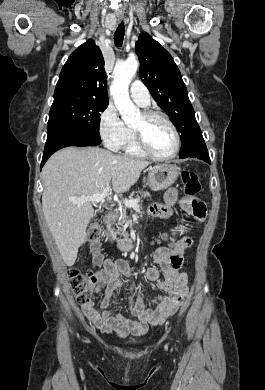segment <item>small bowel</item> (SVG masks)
<instances>
[{
    "instance_id": "1",
    "label": "small bowel",
    "mask_w": 265,
    "mask_h": 390,
    "mask_svg": "<svg viewBox=\"0 0 265 390\" xmlns=\"http://www.w3.org/2000/svg\"><path fill=\"white\" fill-rule=\"evenodd\" d=\"M174 206H179L188 215L202 221L206 217V206L198 198L191 196L180 197L175 188H170L165 194L164 204H153L149 212L159 218H168L173 213ZM185 227L174 229L178 240H172L167 234L162 236L166 246L157 248L153 254V263L149 266L146 276L154 288L162 291L164 295L154 298L147 304L142 292L136 294V284L133 271L128 262L122 258L102 257L97 266L101 269L95 275L93 285L95 293L104 292L100 302V309L95 301L82 306L83 313L102 332L115 333L120 337L129 334H143L150 326L162 324L172 316L184 301L188 292V273L181 271L183 256L193 241L185 236ZM130 279L129 309L132 318L125 317L117 310H109L111 299L122 286V277Z\"/></svg>"
}]
</instances>
